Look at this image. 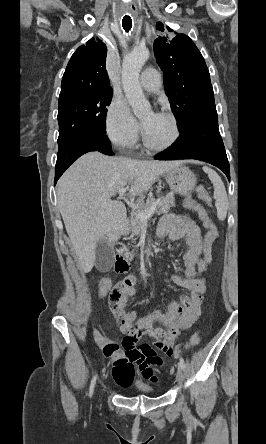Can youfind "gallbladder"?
<instances>
[{
	"mask_svg": "<svg viewBox=\"0 0 266 444\" xmlns=\"http://www.w3.org/2000/svg\"><path fill=\"white\" fill-rule=\"evenodd\" d=\"M114 263V252L105 238L101 239L96 247L95 266L103 272H108Z\"/></svg>",
	"mask_w": 266,
	"mask_h": 444,
	"instance_id": "obj_1",
	"label": "gallbladder"
}]
</instances>
